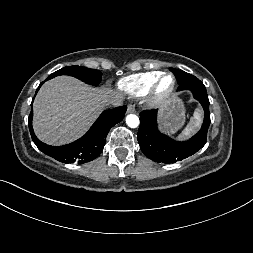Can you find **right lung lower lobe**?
Segmentation results:
<instances>
[{"label":"right lung lower lobe","mask_w":253,"mask_h":253,"mask_svg":"<svg viewBox=\"0 0 253 253\" xmlns=\"http://www.w3.org/2000/svg\"><path fill=\"white\" fill-rule=\"evenodd\" d=\"M49 79L51 78L48 77L45 81ZM43 83L44 82L39 85L36 93ZM126 109V106H120L111 110L104 111L90 128V130L82 138L64 146H49L38 140L32 128V111L29 115V130L33 142L43 153L63 163L77 162L78 164H83L94 160L100 155L105 145L106 136L109 130L115 124L122 121L125 116Z\"/></svg>","instance_id":"right-lung-lower-lobe-1"}]
</instances>
